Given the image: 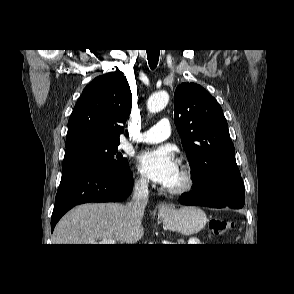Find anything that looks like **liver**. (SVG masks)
<instances>
[{"label":"liver","instance_id":"liver-1","mask_svg":"<svg viewBox=\"0 0 294 294\" xmlns=\"http://www.w3.org/2000/svg\"><path fill=\"white\" fill-rule=\"evenodd\" d=\"M144 235L126 205L119 203H87L66 213L57 223L53 244H99L105 238L120 244H133Z\"/></svg>","mask_w":294,"mask_h":294}]
</instances>
